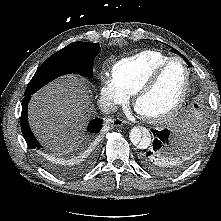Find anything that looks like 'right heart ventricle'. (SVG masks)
<instances>
[{
	"instance_id": "e07e8e85",
	"label": "right heart ventricle",
	"mask_w": 221,
	"mask_h": 221,
	"mask_svg": "<svg viewBox=\"0 0 221 221\" xmlns=\"http://www.w3.org/2000/svg\"><path fill=\"white\" fill-rule=\"evenodd\" d=\"M169 58L160 51L144 50L117 61L112 66V76L128 95H133L152 72Z\"/></svg>"
}]
</instances>
